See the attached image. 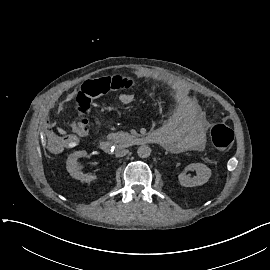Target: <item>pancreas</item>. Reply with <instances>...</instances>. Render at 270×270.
Returning a JSON list of instances; mask_svg holds the SVG:
<instances>
[{"instance_id":"obj_1","label":"pancreas","mask_w":270,"mask_h":270,"mask_svg":"<svg viewBox=\"0 0 270 270\" xmlns=\"http://www.w3.org/2000/svg\"><path fill=\"white\" fill-rule=\"evenodd\" d=\"M131 135L126 132H117L111 133L108 135V139L114 141L115 143H119V147L123 148L125 144L131 139Z\"/></svg>"}]
</instances>
